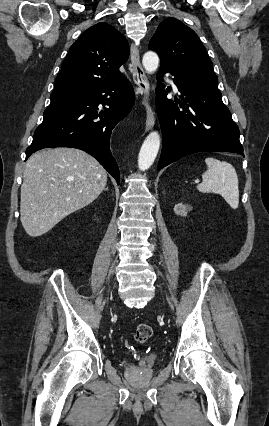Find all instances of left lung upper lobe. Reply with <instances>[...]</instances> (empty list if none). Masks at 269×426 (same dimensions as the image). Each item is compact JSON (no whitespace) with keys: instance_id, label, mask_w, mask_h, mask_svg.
<instances>
[{"instance_id":"left-lung-upper-lobe-1","label":"left lung upper lobe","mask_w":269,"mask_h":426,"mask_svg":"<svg viewBox=\"0 0 269 426\" xmlns=\"http://www.w3.org/2000/svg\"><path fill=\"white\" fill-rule=\"evenodd\" d=\"M148 48L158 53L160 66H169L190 75L218 81L212 62L197 34L175 18L162 21Z\"/></svg>"}]
</instances>
